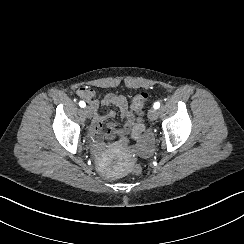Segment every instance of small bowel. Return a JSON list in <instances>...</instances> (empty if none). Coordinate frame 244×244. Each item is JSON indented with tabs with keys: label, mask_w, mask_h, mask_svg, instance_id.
<instances>
[{
	"label": "small bowel",
	"mask_w": 244,
	"mask_h": 244,
	"mask_svg": "<svg viewBox=\"0 0 244 244\" xmlns=\"http://www.w3.org/2000/svg\"><path fill=\"white\" fill-rule=\"evenodd\" d=\"M77 95L84 101L90 104L93 112V121L91 125V131L95 138L99 141L111 140L115 136L128 135L135 124V117L131 111L128 101L125 96L115 93L106 94L101 100L96 99L95 92L88 88H80L77 91ZM115 105L119 108L120 116L124 121L122 126H118L116 123L109 121L107 123V130L102 131V124L104 121L111 120L115 117L114 111H108L105 114L98 112L100 106ZM154 134L152 131L147 130L144 132L141 138L139 150L142 155L147 156L151 152L152 140Z\"/></svg>",
	"instance_id": "c3829d8e"
}]
</instances>
